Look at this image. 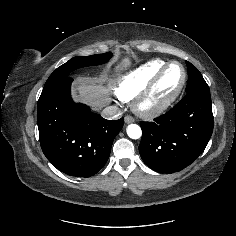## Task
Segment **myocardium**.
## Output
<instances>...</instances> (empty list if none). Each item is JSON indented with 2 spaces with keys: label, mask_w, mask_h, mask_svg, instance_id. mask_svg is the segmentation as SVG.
<instances>
[{
  "label": "myocardium",
  "mask_w": 236,
  "mask_h": 236,
  "mask_svg": "<svg viewBox=\"0 0 236 236\" xmlns=\"http://www.w3.org/2000/svg\"><path fill=\"white\" fill-rule=\"evenodd\" d=\"M178 65L180 66L182 70V80L180 82V85L176 89V91L165 101H163L160 104L154 105V106H148L146 103L148 99L150 98L151 94L153 93L155 87L159 83V81L162 79L166 71L171 65ZM187 80V73L184 68V66L177 62V61H171L166 63L156 74L155 76L149 81V83L146 85V87L136 96V99L133 103V109L134 111L141 117L144 118H155L162 113H164L167 109H169L174 102L178 99L180 94L182 93L185 84Z\"/></svg>",
  "instance_id": "obj_1"
}]
</instances>
